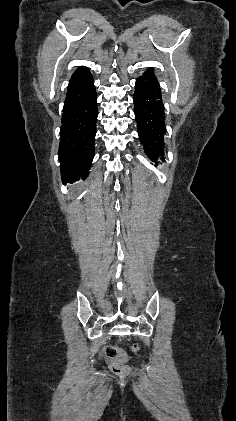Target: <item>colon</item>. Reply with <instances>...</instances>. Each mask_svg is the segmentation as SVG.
<instances>
[{"label": "colon", "mask_w": 236, "mask_h": 421, "mask_svg": "<svg viewBox=\"0 0 236 421\" xmlns=\"http://www.w3.org/2000/svg\"><path fill=\"white\" fill-rule=\"evenodd\" d=\"M132 348L137 350L138 346L134 345ZM105 355L111 359V368L117 375L124 376L129 374L130 368L125 364L127 355L123 350L113 345H108L105 347Z\"/></svg>", "instance_id": "colon-1"}]
</instances>
